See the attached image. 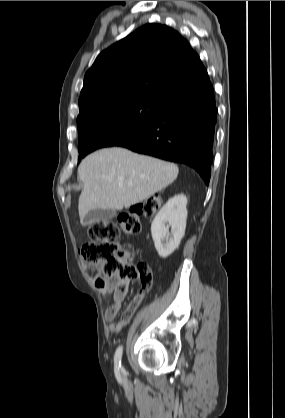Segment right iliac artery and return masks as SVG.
I'll use <instances>...</instances> for the list:
<instances>
[{
  "instance_id": "1",
  "label": "right iliac artery",
  "mask_w": 285,
  "mask_h": 418,
  "mask_svg": "<svg viewBox=\"0 0 285 418\" xmlns=\"http://www.w3.org/2000/svg\"><path fill=\"white\" fill-rule=\"evenodd\" d=\"M122 352H123V348L122 346H119L116 349V352L114 355V368H115L116 374H118L119 371L122 370V365H121Z\"/></svg>"
}]
</instances>
